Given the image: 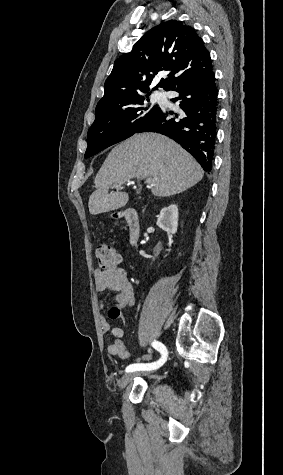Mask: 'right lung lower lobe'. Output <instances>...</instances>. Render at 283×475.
<instances>
[{
	"mask_svg": "<svg viewBox=\"0 0 283 475\" xmlns=\"http://www.w3.org/2000/svg\"><path fill=\"white\" fill-rule=\"evenodd\" d=\"M213 69L179 82L170 91L179 93L171 99L182 111L162 108L137 133L164 134L186 149L206 172L212 169L218 120V90Z\"/></svg>",
	"mask_w": 283,
	"mask_h": 475,
	"instance_id": "98d812e1",
	"label": "right lung lower lobe"
}]
</instances>
